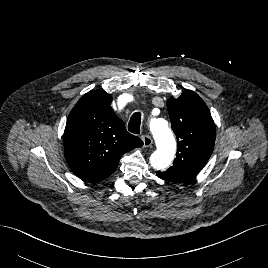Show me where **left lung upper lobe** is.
<instances>
[{
  "instance_id": "1",
  "label": "left lung upper lobe",
  "mask_w": 268,
  "mask_h": 268,
  "mask_svg": "<svg viewBox=\"0 0 268 268\" xmlns=\"http://www.w3.org/2000/svg\"><path fill=\"white\" fill-rule=\"evenodd\" d=\"M171 125L178 148L173 165L157 172L163 180L182 183L194 178L210 158L215 143V124L198 94L191 90L167 100Z\"/></svg>"
}]
</instances>
